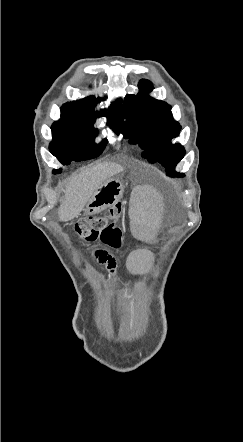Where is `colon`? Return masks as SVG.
I'll list each match as a JSON object with an SVG mask.
<instances>
[{
	"mask_svg": "<svg viewBox=\"0 0 243 442\" xmlns=\"http://www.w3.org/2000/svg\"><path fill=\"white\" fill-rule=\"evenodd\" d=\"M122 213L123 205L117 202L100 215H90L78 220L75 231L86 242H100L109 248L119 249L123 243V233L120 227ZM85 248L87 252H95L97 247L95 243H87ZM95 255L101 261H108L112 258L106 250H98Z\"/></svg>",
	"mask_w": 243,
	"mask_h": 442,
	"instance_id": "5ec220e1",
	"label": "colon"
}]
</instances>
